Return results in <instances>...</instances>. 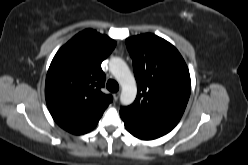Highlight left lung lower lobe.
Returning <instances> with one entry per match:
<instances>
[{
  "label": "left lung lower lobe",
  "mask_w": 248,
  "mask_h": 165,
  "mask_svg": "<svg viewBox=\"0 0 248 165\" xmlns=\"http://www.w3.org/2000/svg\"><path fill=\"white\" fill-rule=\"evenodd\" d=\"M126 129L135 137L142 140H152L167 134L168 130L140 122L120 111Z\"/></svg>",
  "instance_id": "0a47b994"
}]
</instances>
